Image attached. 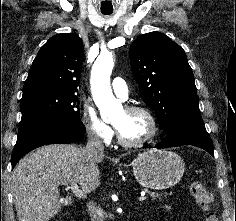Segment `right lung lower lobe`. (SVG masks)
<instances>
[{
    "mask_svg": "<svg viewBox=\"0 0 236 221\" xmlns=\"http://www.w3.org/2000/svg\"><path fill=\"white\" fill-rule=\"evenodd\" d=\"M85 134V127L55 119H34L21 123L12 153V168L31 150L48 144L73 143Z\"/></svg>",
    "mask_w": 236,
    "mask_h": 221,
    "instance_id": "obj_1",
    "label": "right lung lower lobe"
}]
</instances>
